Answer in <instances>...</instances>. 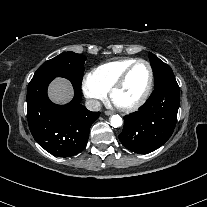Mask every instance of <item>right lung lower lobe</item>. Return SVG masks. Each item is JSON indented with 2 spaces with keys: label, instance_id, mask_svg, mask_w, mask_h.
Masks as SVG:
<instances>
[{
  "label": "right lung lower lobe",
  "instance_id": "1",
  "mask_svg": "<svg viewBox=\"0 0 207 207\" xmlns=\"http://www.w3.org/2000/svg\"><path fill=\"white\" fill-rule=\"evenodd\" d=\"M53 77L32 79L27 91V118L35 141L55 156L70 157L85 147L92 123L100 112H91L80 104L81 89L73 84L74 98L57 105L47 96Z\"/></svg>",
  "mask_w": 207,
  "mask_h": 207
}]
</instances>
